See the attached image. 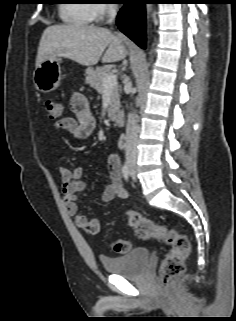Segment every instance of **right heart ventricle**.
<instances>
[{
    "instance_id": "right-heart-ventricle-1",
    "label": "right heart ventricle",
    "mask_w": 236,
    "mask_h": 321,
    "mask_svg": "<svg viewBox=\"0 0 236 321\" xmlns=\"http://www.w3.org/2000/svg\"><path fill=\"white\" fill-rule=\"evenodd\" d=\"M89 0H70L68 3L61 5L60 17L67 23L72 25H87L91 22V7Z\"/></svg>"
}]
</instances>
